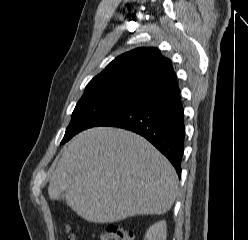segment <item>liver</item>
<instances>
[{
    "label": "liver",
    "instance_id": "obj_1",
    "mask_svg": "<svg viewBox=\"0 0 248 240\" xmlns=\"http://www.w3.org/2000/svg\"><path fill=\"white\" fill-rule=\"evenodd\" d=\"M51 200L92 223L164 214L178 192L171 163L146 139L123 129L95 127L76 135L51 167Z\"/></svg>",
    "mask_w": 248,
    "mask_h": 240
}]
</instances>
